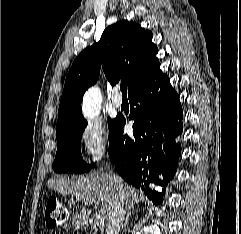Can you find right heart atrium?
I'll list each match as a JSON object with an SVG mask.
<instances>
[{"label": "right heart atrium", "mask_w": 241, "mask_h": 234, "mask_svg": "<svg viewBox=\"0 0 241 234\" xmlns=\"http://www.w3.org/2000/svg\"><path fill=\"white\" fill-rule=\"evenodd\" d=\"M79 136L88 162H98L108 153L110 138L104 125L88 123L81 128Z\"/></svg>", "instance_id": "1"}]
</instances>
